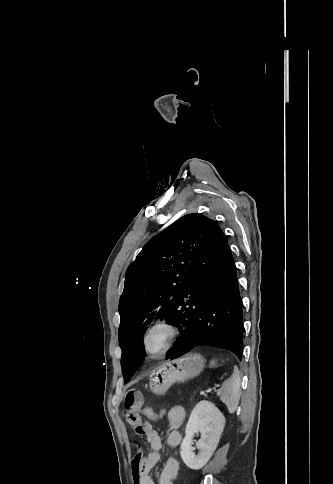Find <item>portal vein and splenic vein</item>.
<instances>
[{"label": "portal vein and splenic vein", "instance_id": "obj_1", "mask_svg": "<svg viewBox=\"0 0 333 484\" xmlns=\"http://www.w3.org/2000/svg\"><path fill=\"white\" fill-rule=\"evenodd\" d=\"M213 389H215V388H213ZM208 390H212V389H203V390L200 391V395H205Z\"/></svg>", "mask_w": 333, "mask_h": 484}]
</instances>
